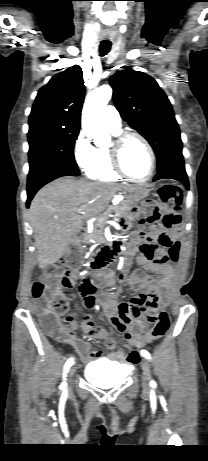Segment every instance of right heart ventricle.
<instances>
[{
  "instance_id": "right-heart-ventricle-1",
  "label": "right heart ventricle",
  "mask_w": 208,
  "mask_h": 461,
  "mask_svg": "<svg viewBox=\"0 0 208 461\" xmlns=\"http://www.w3.org/2000/svg\"><path fill=\"white\" fill-rule=\"evenodd\" d=\"M111 131L114 135L120 133V130ZM85 171L87 177L93 180L110 182L121 179V176L114 171L111 165L108 148H94L93 158Z\"/></svg>"
}]
</instances>
